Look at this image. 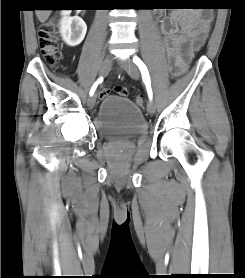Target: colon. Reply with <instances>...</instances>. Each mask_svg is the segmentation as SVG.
<instances>
[{
  "mask_svg": "<svg viewBox=\"0 0 245 278\" xmlns=\"http://www.w3.org/2000/svg\"><path fill=\"white\" fill-rule=\"evenodd\" d=\"M192 7L199 8L203 11H208L210 10V8H213V5L210 3V0H203L202 3L195 4ZM208 20L209 18L206 16L204 23L202 25L204 30L209 29ZM54 28H55V23L51 21L46 23L44 26H42L38 32V42L41 48L44 61L50 66L57 65L62 59L59 41L54 33ZM170 73L172 76H177L179 74V70L175 67H171ZM115 91L119 96H123V97L127 96L128 94V89L125 87H116ZM108 94H109V90L107 89H104L100 92V96L108 95ZM134 101L138 106H141L144 103V98L140 95H137Z\"/></svg>",
  "mask_w": 245,
  "mask_h": 278,
  "instance_id": "1",
  "label": "colon"
}]
</instances>
